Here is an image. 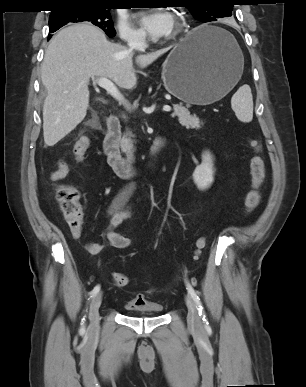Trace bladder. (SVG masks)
Instances as JSON below:
<instances>
[{"instance_id":"bladder-1","label":"bladder","mask_w":306,"mask_h":387,"mask_svg":"<svg viewBox=\"0 0 306 387\" xmlns=\"http://www.w3.org/2000/svg\"><path fill=\"white\" fill-rule=\"evenodd\" d=\"M125 308L132 316L145 315L150 317H158L162 315L164 311L162 304L153 301H145L142 305L136 307H131L127 303Z\"/></svg>"}]
</instances>
